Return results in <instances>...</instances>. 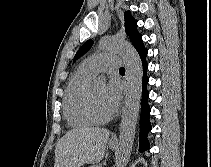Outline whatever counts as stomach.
Instances as JSON below:
<instances>
[{
  "label": "stomach",
  "mask_w": 211,
  "mask_h": 167,
  "mask_svg": "<svg viewBox=\"0 0 211 167\" xmlns=\"http://www.w3.org/2000/svg\"><path fill=\"white\" fill-rule=\"evenodd\" d=\"M109 147L111 149H115L116 148V144L112 143V142H109Z\"/></svg>",
  "instance_id": "obj_1"
}]
</instances>
